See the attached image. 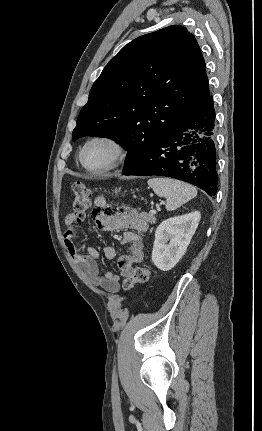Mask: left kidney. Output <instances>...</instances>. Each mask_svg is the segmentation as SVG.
Here are the masks:
<instances>
[{
	"instance_id": "left-kidney-1",
	"label": "left kidney",
	"mask_w": 262,
	"mask_h": 431,
	"mask_svg": "<svg viewBox=\"0 0 262 431\" xmlns=\"http://www.w3.org/2000/svg\"><path fill=\"white\" fill-rule=\"evenodd\" d=\"M201 214L198 211L164 220L156 229L152 262L162 270L172 269L186 252Z\"/></svg>"
}]
</instances>
